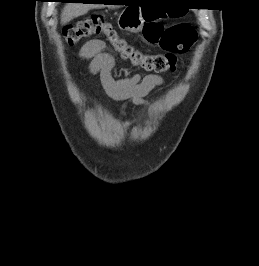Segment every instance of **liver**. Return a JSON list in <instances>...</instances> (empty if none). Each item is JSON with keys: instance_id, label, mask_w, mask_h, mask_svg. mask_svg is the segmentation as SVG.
<instances>
[{"instance_id": "obj_1", "label": "liver", "mask_w": 259, "mask_h": 266, "mask_svg": "<svg viewBox=\"0 0 259 266\" xmlns=\"http://www.w3.org/2000/svg\"><path fill=\"white\" fill-rule=\"evenodd\" d=\"M94 4L68 3L61 13V23L66 24L81 15L86 14L91 8H95Z\"/></svg>"}]
</instances>
